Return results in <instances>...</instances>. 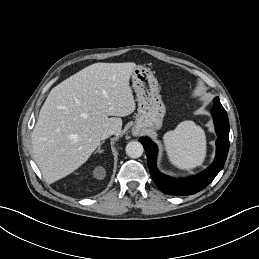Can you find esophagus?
Here are the masks:
<instances>
[{"label":"esophagus","mask_w":259,"mask_h":259,"mask_svg":"<svg viewBox=\"0 0 259 259\" xmlns=\"http://www.w3.org/2000/svg\"><path fill=\"white\" fill-rule=\"evenodd\" d=\"M132 134H133L134 136H138V135L140 134V131L137 130V129H133V130H132Z\"/></svg>","instance_id":"34e87169"}]
</instances>
